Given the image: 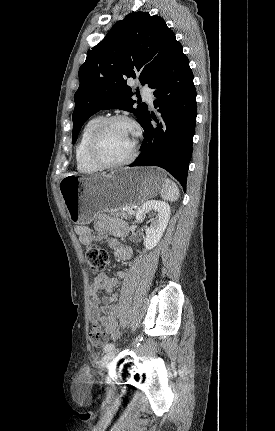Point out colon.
I'll return each mask as SVG.
<instances>
[{"mask_svg":"<svg viewBox=\"0 0 275 431\" xmlns=\"http://www.w3.org/2000/svg\"><path fill=\"white\" fill-rule=\"evenodd\" d=\"M86 260L90 270L95 274H101L109 261L108 252L102 248H89L86 252ZM91 344L101 348L107 343V334L99 323H92L89 329Z\"/></svg>","mask_w":275,"mask_h":431,"instance_id":"obj_1","label":"colon"}]
</instances>
